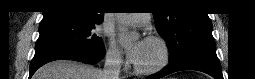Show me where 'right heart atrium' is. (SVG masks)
<instances>
[{"instance_id": "d8ad5b80", "label": "right heart atrium", "mask_w": 255, "mask_h": 79, "mask_svg": "<svg viewBox=\"0 0 255 79\" xmlns=\"http://www.w3.org/2000/svg\"><path fill=\"white\" fill-rule=\"evenodd\" d=\"M107 59L111 64L116 66H121L124 64L122 52L115 45L114 42H109L107 49Z\"/></svg>"}]
</instances>
